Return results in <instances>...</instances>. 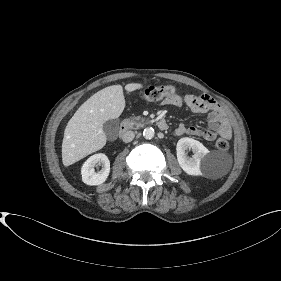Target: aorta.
Returning a JSON list of instances; mask_svg holds the SVG:
<instances>
[{
  "mask_svg": "<svg viewBox=\"0 0 281 281\" xmlns=\"http://www.w3.org/2000/svg\"><path fill=\"white\" fill-rule=\"evenodd\" d=\"M155 135L154 129L152 127H147L143 131V136L145 139H152Z\"/></svg>",
  "mask_w": 281,
  "mask_h": 281,
  "instance_id": "762f6f07",
  "label": "aorta"
}]
</instances>
